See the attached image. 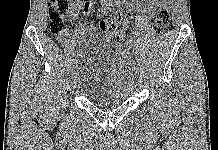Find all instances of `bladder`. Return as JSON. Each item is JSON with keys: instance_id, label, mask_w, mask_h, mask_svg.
<instances>
[{"instance_id": "1", "label": "bladder", "mask_w": 218, "mask_h": 150, "mask_svg": "<svg viewBox=\"0 0 218 150\" xmlns=\"http://www.w3.org/2000/svg\"><path fill=\"white\" fill-rule=\"evenodd\" d=\"M84 64L78 82L85 98L102 109L116 108L128 99L133 83L120 43L101 33L84 42Z\"/></svg>"}]
</instances>
